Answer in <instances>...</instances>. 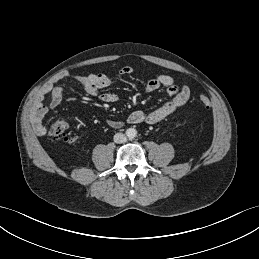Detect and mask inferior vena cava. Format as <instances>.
Here are the masks:
<instances>
[{"label":"inferior vena cava","mask_w":259,"mask_h":259,"mask_svg":"<svg viewBox=\"0 0 259 259\" xmlns=\"http://www.w3.org/2000/svg\"><path fill=\"white\" fill-rule=\"evenodd\" d=\"M127 141L126 136L123 133H116L114 135V142L118 144L125 143Z\"/></svg>","instance_id":"1"}]
</instances>
